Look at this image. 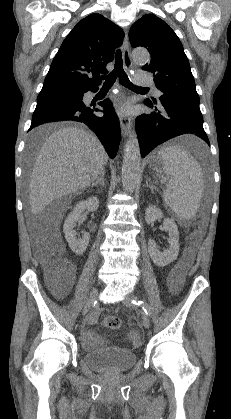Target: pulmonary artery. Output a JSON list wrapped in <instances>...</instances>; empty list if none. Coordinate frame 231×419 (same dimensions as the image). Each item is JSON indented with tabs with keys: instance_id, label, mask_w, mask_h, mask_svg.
I'll use <instances>...</instances> for the list:
<instances>
[{
	"instance_id": "pulmonary-artery-1",
	"label": "pulmonary artery",
	"mask_w": 231,
	"mask_h": 419,
	"mask_svg": "<svg viewBox=\"0 0 231 419\" xmlns=\"http://www.w3.org/2000/svg\"><path fill=\"white\" fill-rule=\"evenodd\" d=\"M134 81L139 85L154 87L155 94L157 97H160L162 95L161 91L155 87L153 80L145 74L136 73L134 75Z\"/></svg>"
}]
</instances>
